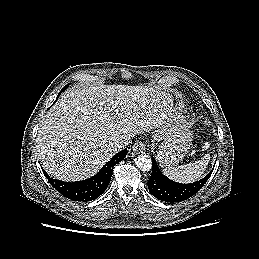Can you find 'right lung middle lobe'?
I'll use <instances>...</instances> for the list:
<instances>
[{"instance_id":"dd1d6c3e","label":"right lung middle lobe","mask_w":259,"mask_h":259,"mask_svg":"<svg viewBox=\"0 0 259 259\" xmlns=\"http://www.w3.org/2000/svg\"><path fill=\"white\" fill-rule=\"evenodd\" d=\"M67 87H68V85H66V86L63 88V90H65Z\"/></svg>"}]
</instances>
